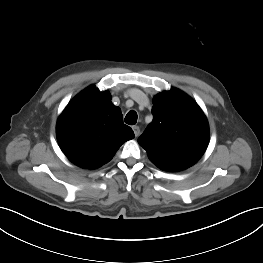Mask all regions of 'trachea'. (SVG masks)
I'll return each instance as SVG.
<instances>
[{"instance_id": "obj_1", "label": "trachea", "mask_w": 263, "mask_h": 263, "mask_svg": "<svg viewBox=\"0 0 263 263\" xmlns=\"http://www.w3.org/2000/svg\"><path fill=\"white\" fill-rule=\"evenodd\" d=\"M137 122V113L133 110L129 111L125 117V123L128 125H135Z\"/></svg>"}]
</instances>
